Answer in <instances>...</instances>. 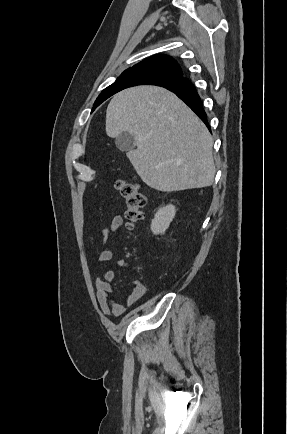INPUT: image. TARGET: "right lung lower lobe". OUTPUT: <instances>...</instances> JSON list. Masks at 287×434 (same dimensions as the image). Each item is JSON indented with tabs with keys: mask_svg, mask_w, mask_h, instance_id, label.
Returning <instances> with one entry per match:
<instances>
[{
	"mask_svg": "<svg viewBox=\"0 0 287 434\" xmlns=\"http://www.w3.org/2000/svg\"><path fill=\"white\" fill-rule=\"evenodd\" d=\"M163 87L174 92L180 99H182L209 128L207 114L204 111L200 96L188 78H184L178 82Z\"/></svg>",
	"mask_w": 287,
	"mask_h": 434,
	"instance_id": "obj_1",
	"label": "right lung lower lobe"
}]
</instances>
